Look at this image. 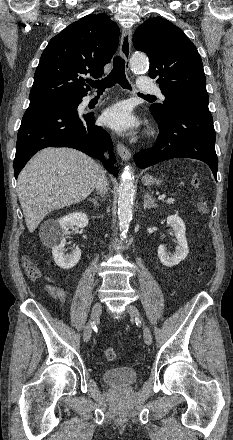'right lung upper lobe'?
Segmentation results:
<instances>
[{
    "mask_svg": "<svg viewBox=\"0 0 233 440\" xmlns=\"http://www.w3.org/2000/svg\"><path fill=\"white\" fill-rule=\"evenodd\" d=\"M120 30L106 14H90L53 37L41 55L30 104L82 99L90 89L82 75L100 77L115 53Z\"/></svg>",
    "mask_w": 233,
    "mask_h": 440,
    "instance_id": "obj_1",
    "label": "right lung upper lobe"
}]
</instances>
